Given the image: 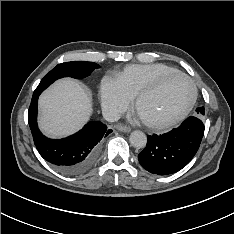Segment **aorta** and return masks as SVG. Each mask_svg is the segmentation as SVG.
Returning a JSON list of instances; mask_svg holds the SVG:
<instances>
[{
  "label": "aorta",
  "instance_id": "aorta-1",
  "mask_svg": "<svg viewBox=\"0 0 234 234\" xmlns=\"http://www.w3.org/2000/svg\"><path fill=\"white\" fill-rule=\"evenodd\" d=\"M130 144L135 148H144L147 143V137L142 131H133L129 137Z\"/></svg>",
  "mask_w": 234,
  "mask_h": 234
}]
</instances>
